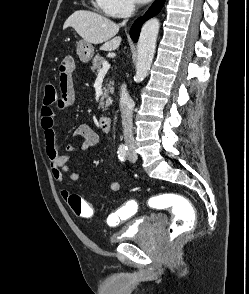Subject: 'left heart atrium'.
I'll use <instances>...</instances> for the list:
<instances>
[{
	"label": "left heart atrium",
	"instance_id": "39dd6f15",
	"mask_svg": "<svg viewBox=\"0 0 249 294\" xmlns=\"http://www.w3.org/2000/svg\"><path fill=\"white\" fill-rule=\"evenodd\" d=\"M140 1H142V2H147V1H150V0H140Z\"/></svg>",
	"mask_w": 249,
	"mask_h": 294
}]
</instances>
